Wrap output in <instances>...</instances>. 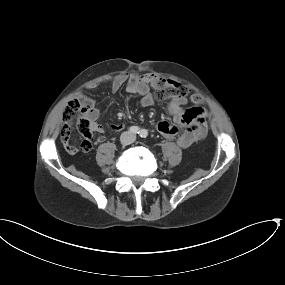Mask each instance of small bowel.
<instances>
[{
  "label": "small bowel",
  "instance_id": "1",
  "mask_svg": "<svg viewBox=\"0 0 285 285\" xmlns=\"http://www.w3.org/2000/svg\"><path fill=\"white\" fill-rule=\"evenodd\" d=\"M156 79V75L150 73L131 75L128 78L120 75L113 78L111 90L117 92L126 83L127 93L140 96L141 106L151 107L154 105V98L150 92V85L155 84ZM98 86V82H93L88 86V89L93 91ZM81 96L83 95H80L79 97ZM84 97L87 98L85 95ZM88 99L91 100L89 97ZM185 103L186 99L183 97H177L169 101L167 110L173 116L174 124H171L166 120H161L156 125V130L159 134L169 139L176 138L177 145L184 149L199 143L207 134L205 122L206 112L204 109L201 107L185 109ZM98 118L99 111L97 109H93L88 115L92 132L104 133L107 131V128L97 121ZM184 127H187V130L183 131ZM123 128V123H116L111 125L108 130L112 133H116ZM70 133V125H68L66 140L64 142V147L68 154L75 155L79 152H89L92 149V141L90 139H84L79 145L70 143Z\"/></svg>",
  "mask_w": 285,
  "mask_h": 285
}]
</instances>
